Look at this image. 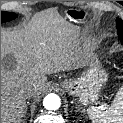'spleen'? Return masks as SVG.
Instances as JSON below:
<instances>
[{
	"instance_id": "3e777b00",
	"label": "spleen",
	"mask_w": 123,
	"mask_h": 123,
	"mask_svg": "<svg viewBox=\"0 0 123 123\" xmlns=\"http://www.w3.org/2000/svg\"><path fill=\"white\" fill-rule=\"evenodd\" d=\"M86 111L93 123H123V86L117 91L111 106H91Z\"/></svg>"
}]
</instances>
